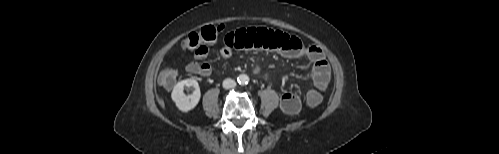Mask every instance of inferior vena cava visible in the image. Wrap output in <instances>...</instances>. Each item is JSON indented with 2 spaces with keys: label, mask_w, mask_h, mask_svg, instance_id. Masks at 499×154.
<instances>
[{
  "label": "inferior vena cava",
  "mask_w": 499,
  "mask_h": 154,
  "mask_svg": "<svg viewBox=\"0 0 499 154\" xmlns=\"http://www.w3.org/2000/svg\"><path fill=\"white\" fill-rule=\"evenodd\" d=\"M222 85H223V88H225V89H229V88H233V87H235V86H236V82H235V80H233V79L227 78V79H225V80L223 81V84H222Z\"/></svg>",
  "instance_id": "obj_1"
}]
</instances>
